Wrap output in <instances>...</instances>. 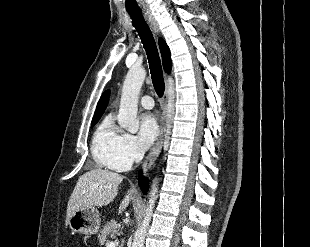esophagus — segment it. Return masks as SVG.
I'll list each match as a JSON object with an SVG mask.
<instances>
[{
	"instance_id": "esophagus-1",
	"label": "esophagus",
	"mask_w": 310,
	"mask_h": 247,
	"mask_svg": "<svg viewBox=\"0 0 310 247\" xmlns=\"http://www.w3.org/2000/svg\"><path fill=\"white\" fill-rule=\"evenodd\" d=\"M146 17H147V19L150 23V26L153 29L154 33L158 34L159 28H158V24H157L154 16L149 14V13H146ZM168 88H169V84H168V81H166V89H165V93L163 96V119H162L160 134H159V137L157 139L156 144L154 145V147L152 148V150L150 151V153L146 157V160L143 164V171L144 172H147L148 170H150L152 168V166L154 165L156 159L158 158V156L162 150L164 138L166 136V131H167V107H168V99H169Z\"/></svg>"
}]
</instances>
